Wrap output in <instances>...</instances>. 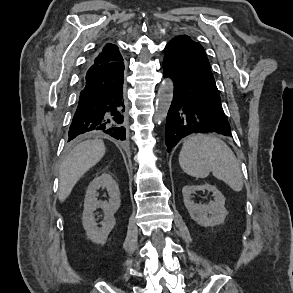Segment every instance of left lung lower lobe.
<instances>
[{
	"label": "left lung lower lobe",
	"mask_w": 293,
	"mask_h": 293,
	"mask_svg": "<svg viewBox=\"0 0 293 293\" xmlns=\"http://www.w3.org/2000/svg\"><path fill=\"white\" fill-rule=\"evenodd\" d=\"M164 77L173 79V100L166 120L167 152L192 133H220L231 136L230 125L218 90L208 86L189 69L175 42L165 47Z\"/></svg>",
	"instance_id": "left-lung-lower-lobe-1"
}]
</instances>
